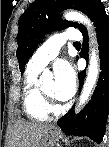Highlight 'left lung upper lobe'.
<instances>
[{
    "label": "left lung upper lobe",
    "mask_w": 109,
    "mask_h": 147,
    "mask_svg": "<svg viewBox=\"0 0 109 147\" xmlns=\"http://www.w3.org/2000/svg\"><path fill=\"white\" fill-rule=\"evenodd\" d=\"M99 4L100 0H36L32 3L19 19L17 58L21 72L46 33L70 26L78 27L79 30L84 27L76 22L62 20V11L72 8L91 17Z\"/></svg>",
    "instance_id": "left-lung-upper-lobe-1"
}]
</instances>
